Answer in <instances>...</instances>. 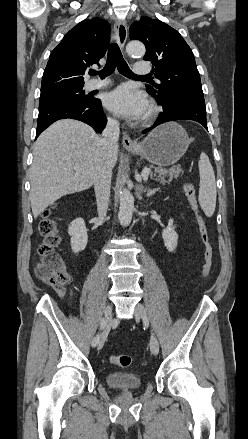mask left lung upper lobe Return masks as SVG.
Wrapping results in <instances>:
<instances>
[{
  "label": "left lung upper lobe",
  "instance_id": "obj_1",
  "mask_svg": "<svg viewBox=\"0 0 248 439\" xmlns=\"http://www.w3.org/2000/svg\"><path fill=\"white\" fill-rule=\"evenodd\" d=\"M130 39L144 43L145 61L154 65L159 84L147 91L167 109L179 101L205 105L200 75L191 48L178 31L166 23L142 17L130 27Z\"/></svg>",
  "mask_w": 248,
  "mask_h": 439
}]
</instances>
